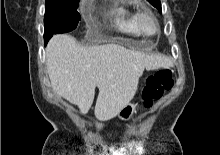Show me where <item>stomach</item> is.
<instances>
[{"label": "stomach", "instance_id": "0dacf381", "mask_svg": "<svg viewBox=\"0 0 220 155\" xmlns=\"http://www.w3.org/2000/svg\"><path fill=\"white\" fill-rule=\"evenodd\" d=\"M137 104L129 103L127 104L118 114L119 119L123 121H128L132 118V116L137 112ZM98 127H102V125H98Z\"/></svg>", "mask_w": 220, "mask_h": 155}]
</instances>
